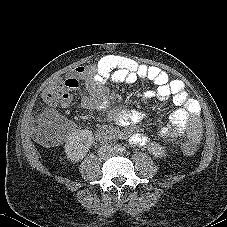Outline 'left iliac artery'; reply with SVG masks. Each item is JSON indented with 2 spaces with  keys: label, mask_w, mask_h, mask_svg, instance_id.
Returning a JSON list of instances; mask_svg holds the SVG:
<instances>
[{
  "label": "left iliac artery",
  "mask_w": 227,
  "mask_h": 227,
  "mask_svg": "<svg viewBox=\"0 0 227 227\" xmlns=\"http://www.w3.org/2000/svg\"><path fill=\"white\" fill-rule=\"evenodd\" d=\"M121 153H125L126 152V148L125 147H119V150Z\"/></svg>",
  "instance_id": "1"
}]
</instances>
